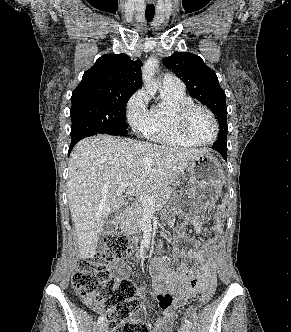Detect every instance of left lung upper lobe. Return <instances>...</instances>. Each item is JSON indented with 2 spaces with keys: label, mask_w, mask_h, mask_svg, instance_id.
Returning <instances> with one entry per match:
<instances>
[{
  "label": "left lung upper lobe",
  "mask_w": 291,
  "mask_h": 332,
  "mask_svg": "<svg viewBox=\"0 0 291 332\" xmlns=\"http://www.w3.org/2000/svg\"><path fill=\"white\" fill-rule=\"evenodd\" d=\"M187 86L189 93L206 105L219 122L218 141L227 143L226 95L220 87L215 72L196 54L174 52L163 61Z\"/></svg>",
  "instance_id": "1"
}]
</instances>
